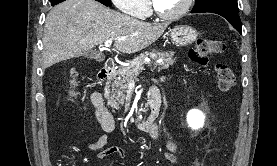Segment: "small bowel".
<instances>
[{"mask_svg":"<svg viewBox=\"0 0 277 166\" xmlns=\"http://www.w3.org/2000/svg\"><path fill=\"white\" fill-rule=\"evenodd\" d=\"M91 100L96 108V116L103 130V134L91 139L88 142V148L93 151H98L97 158L104 159L107 157H122L123 151L118 146H112L105 148L108 143V134L111 133L115 128V121L110 116H105L101 113L99 109V102L97 98V92L92 93ZM153 136L162 141L166 147L165 157L173 163L177 162V146L175 142L166 134L162 133L159 127L154 126L152 128Z\"/></svg>","mask_w":277,"mask_h":166,"instance_id":"1","label":"small bowel"}]
</instances>
